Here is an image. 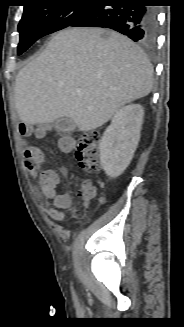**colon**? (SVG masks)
Wrapping results in <instances>:
<instances>
[{"label":"colon","instance_id":"1","mask_svg":"<svg viewBox=\"0 0 184 327\" xmlns=\"http://www.w3.org/2000/svg\"><path fill=\"white\" fill-rule=\"evenodd\" d=\"M21 127H24L21 125ZM99 144L100 136L96 131H89L81 135L76 142V159L79 166L87 171H95L99 168ZM78 194L90 199L95 195L94 187L85 182L81 185Z\"/></svg>","mask_w":184,"mask_h":327}]
</instances>
